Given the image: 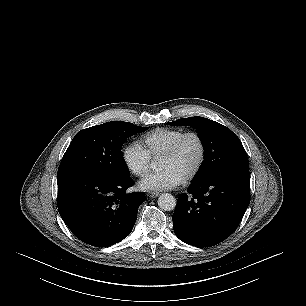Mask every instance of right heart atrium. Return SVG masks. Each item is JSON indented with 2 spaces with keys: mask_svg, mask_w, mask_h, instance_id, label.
<instances>
[{
  "mask_svg": "<svg viewBox=\"0 0 306 306\" xmlns=\"http://www.w3.org/2000/svg\"><path fill=\"white\" fill-rule=\"evenodd\" d=\"M122 159L129 172L137 177L145 176L151 169V156L139 143L126 145Z\"/></svg>",
  "mask_w": 306,
  "mask_h": 306,
  "instance_id": "right-heart-atrium-1",
  "label": "right heart atrium"
}]
</instances>
